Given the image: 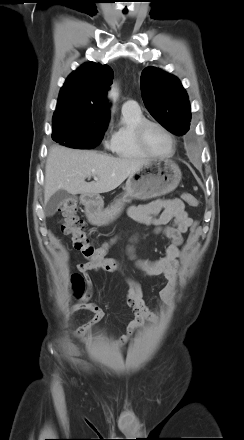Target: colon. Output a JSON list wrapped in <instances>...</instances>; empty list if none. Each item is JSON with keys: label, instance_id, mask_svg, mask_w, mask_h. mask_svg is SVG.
Segmentation results:
<instances>
[{"label": "colon", "instance_id": "colon-1", "mask_svg": "<svg viewBox=\"0 0 244 440\" xmlns=\"http://www.w3.org/2000/svg\"><path fill=\"white\" fill-rule=\"evenodd\" d=\"M182 199L189 206H198V200L192 194L184 193ZM76 209L77 200L75 198H68L58 205L56 212L61 219L63 232L71 236L75 249L80 251L94 267L105 271L116 268L119 263L116 260L107 258L106 255L117 239H111L101 246L95 247L85 230L83 220L76 215ZM195 226L194 224L192 230ZM74 288L78 294L83 289V281L80 276L74 278Z\"/></svg>", "mask_w": 244, "mask_h": 440}]
</instances>
